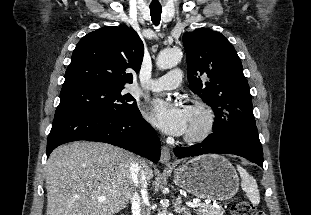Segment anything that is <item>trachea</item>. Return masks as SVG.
Returning a JSON list of instances; mask_svg holds the SVG:
<instances>
[{
  "mask_svg": "<svg viewBox=\"0 0 311 215\" xmlns=\"http://www.w3.org/2000/svg\"><path fill=\"white\" fill-rule=\"evenodd\" d=\"M162 7L161 6H150L151 20L154 25L158 26L161 20Z\"/></svg>",
  "mask_w": 311,
  "mask_h": 215,
  "instance_id": "trachea-1",
  "label": "trachea"
}]
</instances>
